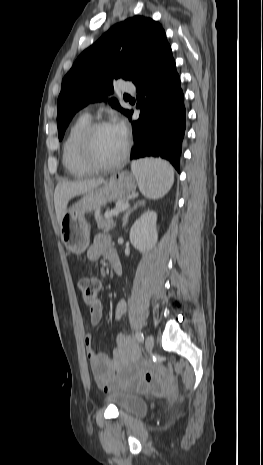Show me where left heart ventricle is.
<instances>
[{
	"label": "left heart ventricle",
	"mask_w": 263,
	"mask_h": 465,
	"mask_svg": "<svg viewBox=\"0 0 263 465\" xmlns=\"http://www.w3.org/2000/svg\"><path fill=\"white\" fill-rule=\"evenodd\" d=\"M93 153L95 158L103 163L115 160L122 152L125 139L114 126L98 130L93 137Z\"/></svg>",
	"instance_id": "left-heart-ventricle-1"
}]
</instances>
